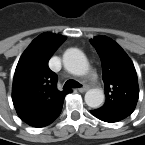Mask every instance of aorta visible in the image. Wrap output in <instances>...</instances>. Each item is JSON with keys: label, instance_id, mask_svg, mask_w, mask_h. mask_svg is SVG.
<instances>
[{"label": "aorta", "instance_id": "obj_1", "mask_svg": "<svg viewBox=\"0 0 145 145\" xmlns=\"http://www.w3.org/2000/svg\"><path fill=\"white\" fill-rule=\"evenodd\" d=\"M66 68L77 76H84L89 71V66L84 56L78 52H70L64 56ZM86 103L93 108L99 107L104 101L103 91L92 89L85 94Z\"/></svg>", "mask_w": 145, "mask_h": 145}]
</instances>
